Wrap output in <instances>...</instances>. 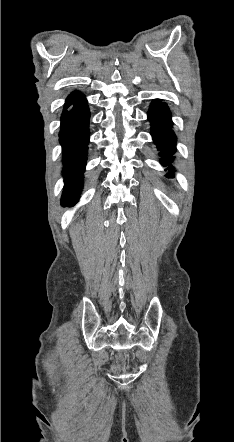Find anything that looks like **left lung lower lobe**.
I'll return each instance as SVG.
<instances>
[{"label":"left lung lower lobe","mask_w":234,"mask_h":442,"mask_svg":"<svg viewBox=\"0 0 234 442\" xmlns=\"http://www.w3.org/2000/svg\"><path fill=\"white\" fill-rule=\"evenodd\" d=\"M149 121L152 123L151 134L154 137V142L161 150L160 155L166 157L162 159V164L167 166L173 160L171 156L175 152V135L172 128L171 114L165 103L160 100H154L148 112ZM172 172L173 168L169 167ZM171 176L170 174H167Z\"/></svg>","instance_id":"obj_1"}]
</instances>
